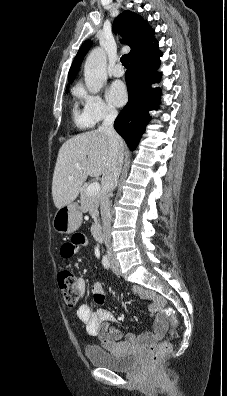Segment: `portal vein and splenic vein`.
Here are the masks:
<instances>
[{
    "label": "portal vein and splenic vein",
    "instance_id": "obj_1",
    "mask_svg": "<svg viewBox=\"0 0 227 396\" xmlns=\"http://www.w3.org/2000/svg\"><path fill=\"white\" fill-rule=\"evenodd\" d=\"M79 167V164H76ZM100 191V184L98 182H93L87 187V193L89 195L97 194Z\"/></svg>",
    "mask_w": 227,
    "mask_h": 396
}]
</instances>
